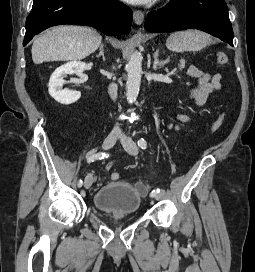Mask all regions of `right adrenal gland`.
Segmentation results:
<instances>
[{
  "instance_id": "2a0ac1e0",
  "label": "right adrenal gland",
  "mask_w": 255,
  "mask_h": 272,
  "mask_svg": "<svg viewBox=\"0 0 255 272\" xmlns=\"http://www.w3.org/2000/svg\"><path fill=\"white\" fill-rule=\"evenodd\" d=\"M99 50H100V52H99V54L97 55V57H102V58H103V61H105L106 58H105V55H104V44H101V45H100Z\"/></svg>"
}]
</instances>
